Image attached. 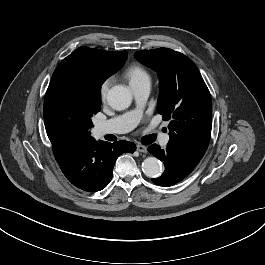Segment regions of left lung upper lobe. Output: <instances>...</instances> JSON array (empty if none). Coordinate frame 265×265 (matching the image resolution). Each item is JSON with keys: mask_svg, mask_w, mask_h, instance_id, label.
<instances>
[{"mask_svg": "<svg viewBox=\"0 0 265 265\" xmlns=\"http://www.w3.org/2000/svg\"><path fill=\"white\" fill-rule=\"evenodd\" d=\"M134 56L158 73L157 110L170 120L167 148L193 170L208 148L212 128L211 96L198 68L187 56L167 48L142 50Z\"/></svg>", "mask_w": 265, "mask_h": 265, "instance_id": "5c2ea615", "label": "left lung upper lobe"}]
</instances>
